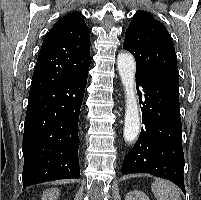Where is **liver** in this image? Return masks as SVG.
<instances>
[{
	"label": "liver",
	"instance_id": "liver-1",
	"mask_svg": "<svg viewBox=\"0 0 201 200\" xmlns=\"http://www.w3.org/2000/svg\"><path fill=\"white\" fill-rule=\"evenodd\" d=\"M59 190L56 188L49 189L44 192L42 196V200H56L57 197L59 196Z\"/></svg>",
	"mask_w": 201,
	"mask_h": 200
}]
</instances>
